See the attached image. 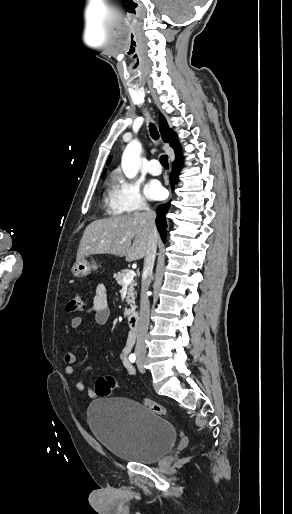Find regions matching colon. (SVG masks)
Instances as JSON below:
<instances>
[{"instance_id":"1","label":"colon","mask_w":292,"mask_h":514,"mask_svg":"<svg viewBox=\"0 0 292 514\" xmlns=\"http://www.w3.org/2000/svg\"><path fill=\"white\" fill-rule=\"evenodd\" d=\"M84 309V303L82 296L75 295L72 297L67 303L65 310L67 313H75V312H81ZM118 387L114 377L106 375V376H100L96 383L94 390L96 391V394L102 398H108L111 395V391ZM143 404L145 407L152 413H155L157 415L165 416L168 414L167 408L159 404L151 399L144 398Z\"/></svg>"}]
</instances>
